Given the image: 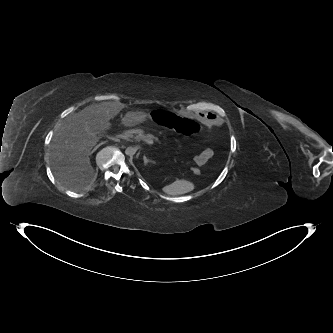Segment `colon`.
<instances>
[{
	"instance_id": "5ec220e1",
	"label": "colon",
	"mask_w": 333,
	"mask_h": 333,
	"mask_svg": "<svg viewBox=\"0 0 333 333\" xmlns=\"http://www.w3.org/2000/svg\"><path fill=\"white\" fill-rule=\"evenodd\" d=\"M146 120L150 124L170 128L186 136H200L205 131L204 127L196 120L190 118L181 119L177 112L165 109H150L146 113ZM191 171L199 174V170L196 168H193Z\"/></svg>"
}]
</instances>
